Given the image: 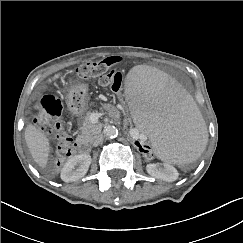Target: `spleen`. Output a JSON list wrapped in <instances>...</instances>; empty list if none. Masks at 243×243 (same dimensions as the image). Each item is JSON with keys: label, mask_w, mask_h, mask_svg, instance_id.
<instances>
[{"label": "spleen", "mask_w": 243, "mask_h": 243, "mask_svg": "<svg viewBox=\"0 0 243 243\" xmlns=\"http://www.w3.org/2000/svg\"><path fill=\"white\" fill-rule=\"evenodd\" d=\"M124 95L163 161L184 164L205 149L208 134L202 113L180 79L154 67H139L127 76Z\"/></svg>", "instance_id": "3e777b00"}]
</instances>
